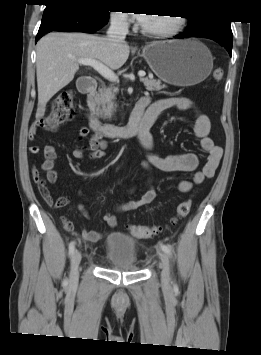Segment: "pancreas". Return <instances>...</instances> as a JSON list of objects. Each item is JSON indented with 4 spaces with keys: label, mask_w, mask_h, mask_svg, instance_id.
I'll use <instances>...</instances> for the list:
<instances>
[{
    "label": "pancreas",
    "mask_w": 261,
    "mask_h": 355,
    "mask_svg": "<svg viewBox=\"0 0 261 355\" xmlns=\"http://www.w3.org/2000/svg\"><path fill=\"white\" fill-rule=\"evenodd\" d=\"M143 83L148 91H160L166 88V85H162L160 80L145 78L143 79ZM117 92L118 89L116 87L110 86L108 88H101L98 93L95 94L91 105L98 116L103 119L111 118L116 108L115 99Z\"/></svg>",
    "instance_id": "cf45deb5"
}]
</instances>
